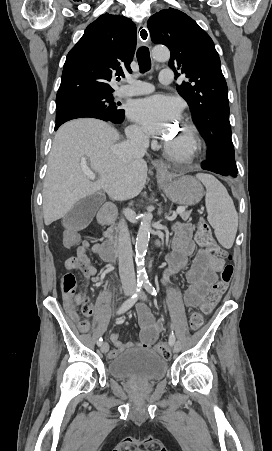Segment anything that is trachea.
<instances>
[{
	"mask_svg": "<svg viewBox=\"0 0 272 451\" xmlns=\"http://www.w3.org/2000/svg\"><path fill=\"white\" fill-rule=\"evenodd\" d=\"M137 60L141 73L150 70L151 60L149 49L147 47L143 46L137 50Z\"/></svg>",
	"mask_w": 272,
	"mask_h": 451,
	"instance_id": "3493384b",
	"label": "trachea"
}]
</instances>
